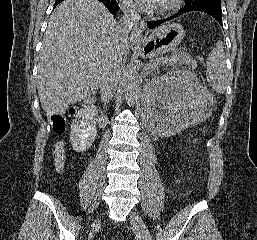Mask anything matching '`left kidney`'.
Here are the masks:
<instances>
[{"label": "left kidney", "mask_w": 257, "mask_h": 240, "mask_svg": "<svg viewBox=\"0 0 257 240\" xmlns=\"http://www.w3.org/2000/svg\"><path fill=\"white\" fill-rule=\"evenodd\" d=\"M208 100L209 93L192 74L172 71L145 85L144 115L152 133L172 136L206 119Z\"/></svg>", "instance_id": "obj_1"}]
</instances>
